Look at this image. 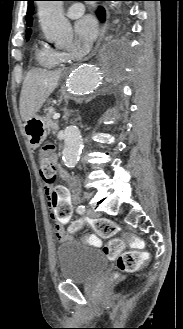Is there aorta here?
<instances>
[{
  "mask_svg": "<svg viewBox=\"0 0 183 329\" xmlns=\"http://www.w3.org/2000/svg\"><path fill=\"white\" fill-rule=\"evenodd\" d=\"M38 14L45 37L60 47L72 43V27L63 15L62 1H39ZM104 64L91 62L77 67L70 75L68 89L71 92L91 93L98 89L102 81ZM82 138L79 129L70 125L64 130L62 158L66 166L77 164L81 152Z\"/></svg>",
  "mask_w": 183,
  "mask_h": 329,
  "instance_id": "obj_1",
  "label": "aorta"
}]
</instances>
